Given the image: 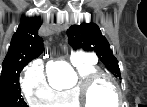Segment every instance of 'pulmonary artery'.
I'll use <instances>...</instances> for the list:
<instances>
[{"mask_svg": "<svg viewBox=\"0 0 147 107\" xmlns=\"http://www.w3.org/2000/svg\"><path fill=\"white\" fill-rule=\"evenodd\" d=\"M70 60L72 63H77V62L95 60V58L91 57L89 54L80 51H74L71 55Z\"/></svg>", "mask_w": 147, "mask_h": 107, "instance_id": "obj_1", "label": "pulmonary artery"}]
</instances>
